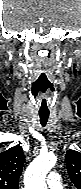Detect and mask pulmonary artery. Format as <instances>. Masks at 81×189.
Wrapping results in <instances>:
<instances>
[{"mask_svg":"<svg viewBox=\"0 0 81 189\" xmlns=\"http://www.w3.org/2000/svg\"><path fill=\"white\" fill-rule=\"evenodd\" d=\"M46 181L50 189H62V180L57 173L51 172L47 176Z\"/></svg>","mask_w":81,"mask_h":189,"instance_id":"pulmonary-artery-1","label":"pulmonary artery"}]
</instances>
